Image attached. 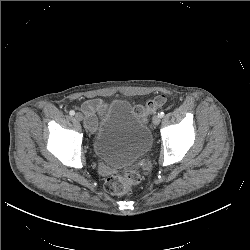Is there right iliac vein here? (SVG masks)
I'll list each match as a JSON object with an SVG mask.
<instances>
[{
  "label": "right iliac vein",
  "instance_id": "obj_1",
  "mask_svg": "<svg viewBox=\"0 0 250 250\" xmlns=\"http://www.w3.org/2000/svg\"><path fill=\"white\" fill-rule=\"evenodd\" d=\"M74 118L77 121H82L83 120V115L81 113H76Z\"/></svg>",
  "mask_w": 250,
  "mask_h": 250
}]
</instances>
